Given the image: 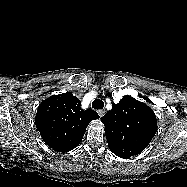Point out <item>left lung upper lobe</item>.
<instances>
[{"mask_svg":"<svg viewBox=\"0 0 187 187\" xmlns=\"http://www.w3.org/2000/svg\"><path fill=\"white\" fill-rule=\"evenodd\" d=\"M110 150L118 157L128 159L140 154L157 131L153 110L135 98L124 96L102 118Z\"/></svg>","mask_w":187,"mask_h":187,"instance_id":"obj_1","label":"left lung upper lobe"}]
</instances>
